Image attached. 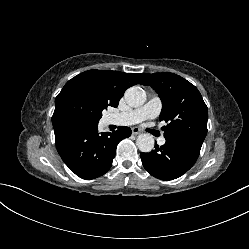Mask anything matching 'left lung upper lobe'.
Returning a JSON list of instances; mask_svg holds the SVG:
<instances>
[{"label":"left lung upper lobe","instance_id":"5c2ea615","mask_svg":"<svg viewBox=\"0 0 249 249\" xmlns=\"http://www.w3.org/2000/svg\"><path fill=\"white\" fill-rule=\"evenodd\" d=\"M141 84L151 86L159 94L160 121L168 123L162 128L165 139L189 138L203 143L208 110L194 85L173 73L145 74Z\"/></svg>","mask_w":249,"mask_h":249}]
</instances>
